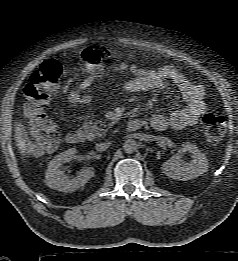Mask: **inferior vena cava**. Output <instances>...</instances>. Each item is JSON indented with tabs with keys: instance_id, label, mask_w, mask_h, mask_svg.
Masks as SVG:
<instances>
[{
	"instance_id": "1",
	"label": "inferior vena cava",
	"mask_w": 238,
	"mask_h": 261,
	"mask_svg": "<svg viewBox=\"0 0 238 261\" xmlns=\"http://www.w3.org/2000/svg\"><path fill=\"white\" fill-rule=\"evenodd\" d=\"M110 146V142L98 143L96 144V150L98 152L105 151Z\"/></svg>"
}]
</instances>
